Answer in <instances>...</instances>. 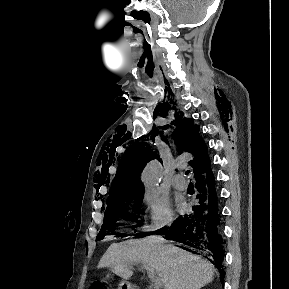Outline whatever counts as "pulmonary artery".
Returning <instances> with one entry per match:
<instances>
[{
	"mask_svg": "<svg viewBox=\"0 0 289 289\" xmlns=\"http://www.w3.org/2000/svg\"><path fill=\"white\" fill-rule=\"evenodd\" d=\"M172 184L176 189L184 190L187 188V181L185 180L184 176L179 173L176 174L172 179Z\"/></svg>",
	"mask_w": 289,
	"mask_h": 289,
	"instance_id": "obj_1",
	"label": "pulmonary artery"
}]
</instances>
